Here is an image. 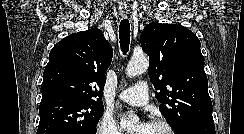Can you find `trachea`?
I'll return each mask as SVG.
<instances>
[{
  "label": "trachea",
  "instance_id": "trachea-1",
  "mask_svg": "<svg viewBox=\"0 0 244 134\" xmlns=\"http://www.w3.org/2000/svg\"><path fill=\"white\" fill-rule=\"evenodd\" d=\"M120 47L123 54L129 50L130 44V23L128 19H123L119 25Z\"/></svg>",
  "mask_w": 244,
  "mask_h": 134
}]
</instances>
